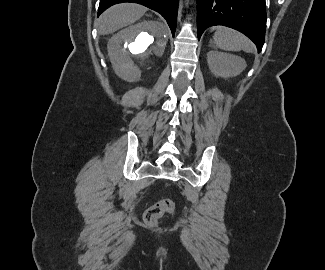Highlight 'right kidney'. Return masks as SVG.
Segmentation results:
<instances>
[{"mask_svg": "<svg viewBox=\"0 0 325 270\" xmlns=\"http://www.w3.org/2000/svg\"><path fill=\"white\" fill-rule=\"evenodd\" d=\"M167 41L164 25L156 21H143L119 31L107 44L115 73L125 81H139L163 54Z\"/></svg>", "mask_w": 325, "mask_h": 270, "instance_id": "right-kidney-1", "label": "right kidney"}]
</instances>
